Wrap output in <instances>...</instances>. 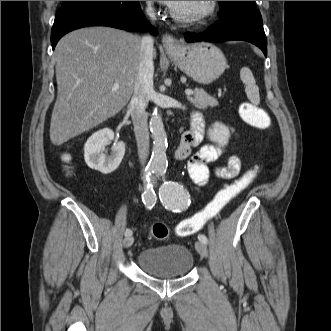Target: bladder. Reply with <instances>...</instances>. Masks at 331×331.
I'll return each instance as SVG.
<instances>
[{
	"mask_svg": "<svg viewBox=\"0 0 331 331\" xmlns=\"http://www.w3.org/2000/svg\"><path fill=\"white\" fill-rule=\"evenodd\" d=\"M137 265L152 278H183L193 269L194 257L186 245L169 243L143 249L137 257Z\"/></svg>",
	"mask_w": 331,
	"mask_h": 331,
	"instance_id": "bladder-1",
	"label": "bladder"
}]
</instances>
